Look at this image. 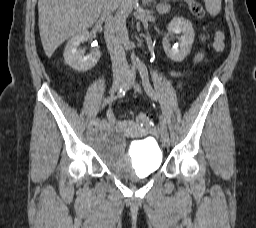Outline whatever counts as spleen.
I'll return each mask as SVG.
<instances>
[{
    "label": "spleen",
    "instance_id": "obj_1",
    "mask_svg": "<svg viewBox=\"0 0 256 228\" xmlns=\"http://www.w3.org/2000/svg\"><path fill=\"white\" fill-rule=\"evenodd\" d=\"M206 11L211 16H216L221 11V0H204Z\"/></svg>",
    "mask_w": 256,
    "mask_h": 228
}]
</instances>
